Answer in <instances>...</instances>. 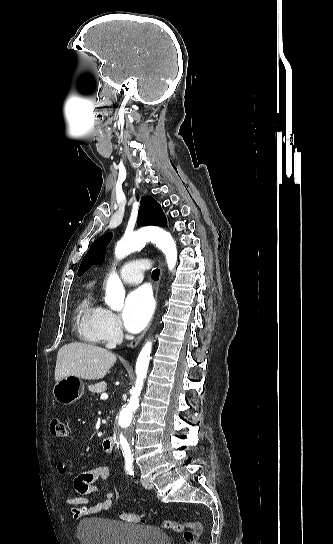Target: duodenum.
I'll return each mask as SVG.
<instances>
[{
    "instance_id": "duodenum-1",
    "label": "duodenum",
    "mask_w": 333,
    "mask_h": 544,
    "mask_svg": "<svg viewBox=\"0 0 333 544\" xmlns=\"http://www.w3.org/2000/svg\"><path fill=\"white\" fill-rule=\"evenodd\" d=\"M102 445L105 452H112L115 445V438L113 436H107L104 438Z\"/></svg>"
}]
</instances>
